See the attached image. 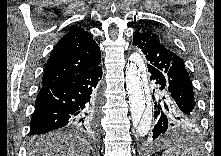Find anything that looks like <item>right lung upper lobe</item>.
<instances>
[{
    "label": "right lung upper lobe",
    "mask_w": 221,
    "mask_h": 156,
    "mask_svg": "<svg viewBox=\"0 0 221 156\" xmlns=\"http://www.w3.org/2000/svg\"><path fill=\"white\" fill-rule=\"evenodd\" d=\"M100 56V48L90 33L81 28H71L56 44L47 61L42 87L99 65Z\"/></svg>",
    "instance_id": "right-lung-upper-lobe-1"
}]
</instances>
